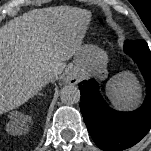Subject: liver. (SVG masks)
I'll return each instance as SVG.
<instances>
[{"mask_svg":"<svg viewBox=\"0 0 151 151\" xmlns=\"http://www.w3.org/2000/svg\"><path fill=\"white\" fill-rule=\"evenodd\" d=\"M86 9L60 6L35 9L0 28V115L38 93L64 61L81 49Z\"/></svg>","mask_w":151,"mask_h":151,"instance_id":"6515ba94","label":"liver"}]
</instances>
